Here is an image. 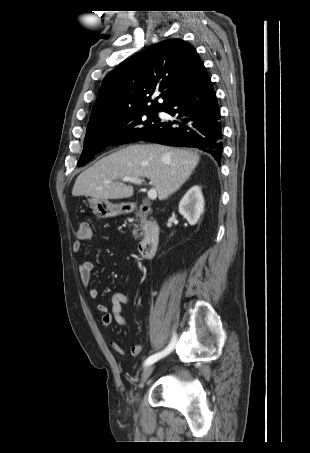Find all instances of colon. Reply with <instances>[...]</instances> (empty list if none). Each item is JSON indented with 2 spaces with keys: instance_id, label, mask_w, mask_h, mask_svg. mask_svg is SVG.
<instances>
[{
  "instance_id": "1",
  "label": "colon",
  "mask_w": 310,
  "mask_h": 453,
  "mask_svg": "<svg viewBox=\"0 0 310 453\" xmlns=\"http://www.w3.org/2000/svg\"><path fill=\"white\" fill-rule=\"evenodd\" d=\"M78 236L81 239H88L91 237V228L88 223L82 222L79 225Z\"/></svg>"
}]
</instances>
